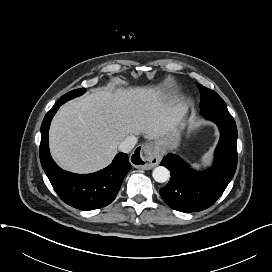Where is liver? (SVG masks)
I'll list each match as a JSON object with an SVG mask.
<instances>
[{
	"instance_id": "obj_1",
	"label": "liver",
	"mask_w": 272,
	"mask_h": 272,
	"mask_svg": "<svg viewBox=\"0 0 272 272\" xmlns=\"http://www.w3.org/2000/svg\"><path fill=\"white\" fill-rule=\"evenodd\" d=\"M186 111L158 88L98 89L58 110L50 126V151L63 169L92 173L112 162L129 135L157 140L177 132Z\"/></svg>"
}]
</instances>
